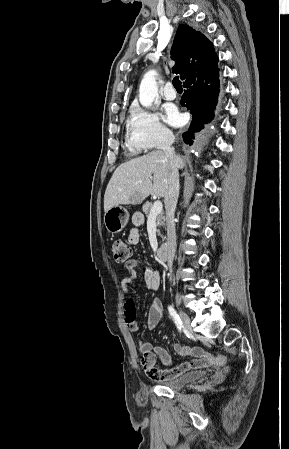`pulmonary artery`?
Wrapping results in <instances>:
<instances>
[{
  "label": "pulmonary artery",
  "mask_w": 289,
  "mask_h": 449,
  "mask_svg": "<svg viewBox=\"0 0 289 449\" xmlns=\"http://www.w3.org/2000/svg\"><path fill=\"white\" fill-rule=\"evenodd\" d=\"M163 96L166 100H174L176 98V91L171 82H168L163 89Z\"/></svg>",
  "instance_id": "1"
}]
</instances>
